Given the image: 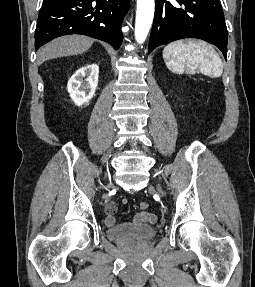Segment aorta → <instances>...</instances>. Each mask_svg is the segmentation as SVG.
I'll list each match as a JSON object with an SVG mask.
<instances>
[{
	"label": "aorta",
	"instance_id": "obj_1",
	"mask_svg": "<svg viewBox=\"0 0 255 287\" xmlns=\"http://www.w3.org/2000/svg\"><path fill=\"white\" fill-rule=\"evenodd\" d=\"M154 17V0H137L135 38L143 43L148 35Z\"/></svg>",
	"mask_w": 255,
	"mask_h": 287
}]
</instances>
